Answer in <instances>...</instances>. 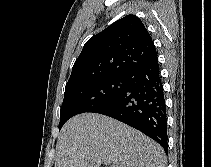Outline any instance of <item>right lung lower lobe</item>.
Wrapping results in <instances>:
<instances>
[{"instance_id":"right-lung-lower-lobe-1","label":"right lung lower lobe","mask_w":211,"mask_h":167,"mask_svg":"<svg viewBox=\"0 0 211 167\" xmlns=\"http://www.w3.org/2000/svg\"><path fill=\"white\" fill-rule=\"evenodd\" d=\"M125 77V90L94 113L110 116L140 130L167 151V116L158 58Z\"/></svg>"}]
</instances>
